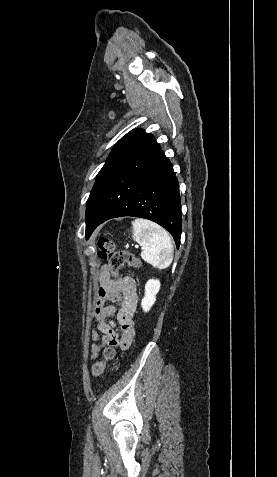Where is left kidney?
<instances>
[{
	"label": "left kidney",
	"mask_w": 277,
	"mask_h": 477,
	"mask_svg": "<svg viewBox=\"0 0 277 477\" xmlns=\"http://www.w3.org/2000/svg\"><path fill=\"white\" fill-rule=\"evenodd\" d=\"M160 289V281L150 279L145 285V296L142 299L141 306L144 312H148L156 301V294Z\"/></svg>",
	"instance_id": "1"
}]
</instances>
